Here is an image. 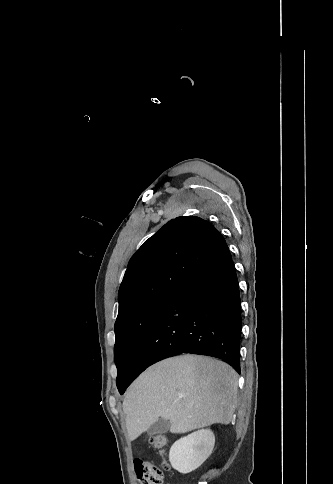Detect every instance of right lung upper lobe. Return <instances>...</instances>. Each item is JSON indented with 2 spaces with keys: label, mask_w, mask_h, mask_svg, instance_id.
<instances>
[{
  "label": "right lung upper lobe",
  "mask_w": 333,
  "mask_h": 484,
  "mask_svg": "<svg viewBox=\"0 0 333 484\" xmlns=\"http://www.w3.org/2000/svg\"><path fill=\"white\" fill-rule=\"evenodd\" d=\"M227 252L224 237L208 221L172 219L130 259L119 289L118 317L161 292L179 289Z\"/></svg>",
  "instance_id": "obj_1"
}]
</instances>
